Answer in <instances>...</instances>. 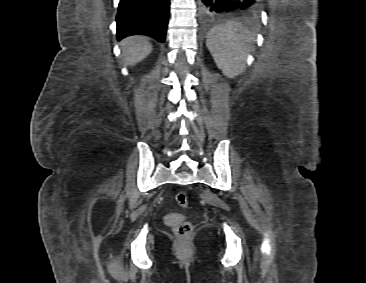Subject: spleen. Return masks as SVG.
Segmentation results:
<instances>
[{"mask_svg":"<svg viewBox=\"0 0 366 283\" xmlns=\"http://www.w3.org/2000/svg\"><path fill=\"white\" fill-rule=\"evenodd\" d=\"M252 37L246 27L234 21L209 31L206 45L226 77L234 78L244 71Z\"/></svg>","mask_w":366,"mask_h":283,"instance_id":"obj_1","label":"spleen"}]
</instances>
